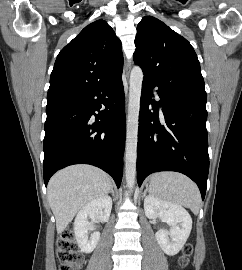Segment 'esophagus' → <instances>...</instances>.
Masks as SVG:
<instances>
[{
  "instance_id": "34e87169",
  "label": "esophagus",
  "mask_w": 242,
  "mask_h": 270,
  "mask_svg": "<svg viewBox=\"0 0 242 270\" xmlns=\"http://www.w3.org/2000/svg\"><path fill=\"white\" fill-rule=\"evenodd\" d=\"M130 70H131V63L128 62L125 65V73H126L127 76H129Z\"/></svg>"
}]
</instances>
